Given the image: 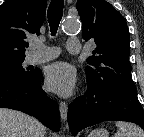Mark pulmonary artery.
Segmentation results:
<instances>
[{
  "instance_id": "pulmonary-artery-1",
  "label": "pulmonary artery",
  "mask_w": 144,
  "mask_h": 137,
  "mask_svg": "<svg viewBox=\"0 0 144 137\" xmlns=\"http://www.w3.org/2000/svg\"><path fill=\"white\" fill-rule=\"evenodd\" d=\"M32 48L35 49L32 53L28 55L29 63H42L50 61L59 55V50L56 47H49L41 42H33ZM66 48L69 53L76 54L81 50V44L77 39L70 38L67 40Z\"/></svg>"
}]
</instances>
